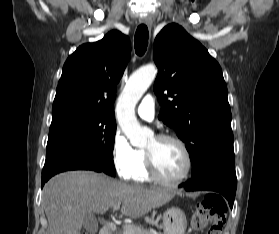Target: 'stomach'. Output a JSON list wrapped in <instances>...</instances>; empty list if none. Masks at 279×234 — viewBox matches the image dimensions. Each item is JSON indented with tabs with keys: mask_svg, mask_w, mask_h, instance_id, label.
I'll list each match as a JSON object with an SVG mask.
<instances>
[{
	"mask_svg": "<svg viewBox=\"0 0 279 234\" xmlns=\"http://www.w3.org/2000/svg\"><path fill=\"white\" fill-rule=\"evenodd\" d=\"M162 225L164 234H184L187 226L185 213L177 207L166 210L162 217Z\"/></svg>",
	"mask_w": 279,
	"mask_h": 234,
	"instance_id": "0dacf381",
	"label": "stomach"
}]
</instances>
